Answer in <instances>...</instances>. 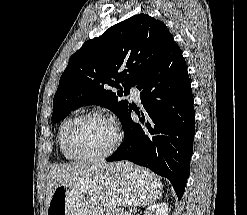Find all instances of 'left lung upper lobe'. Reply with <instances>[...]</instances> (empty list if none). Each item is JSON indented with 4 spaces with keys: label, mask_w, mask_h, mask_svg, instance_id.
I'll list each match as a JSON object with an SVG mask.
<instances>
[{
    "label": "left lung upper lobe",
    "mask_w": 247,
    "mask_h": 215,
    "mask_svg": "<svg viewBox=\"0 0 247 215\" xmlns=\"http://www.w3.org/2000/svg\"><path fill=\"white\" fill-rule=\"evenodd\" d=\"M172 35L166 25L139 14L110 27L73 54L53 99L52 122L59 123L71 111L96 104L122 120L130 108L127 100L134 86L164 53ZM120 89L117 93L109 87Z\"/></svg>",
    "instance_id": "obj_1"
}]
</instances>
